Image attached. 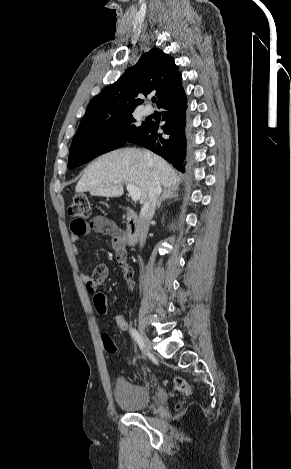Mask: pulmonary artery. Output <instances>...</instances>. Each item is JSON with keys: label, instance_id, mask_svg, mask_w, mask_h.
<instances>
[{"label": "pulmonary artery", "instance_id": "obj_1", "mask_svg": "<svg viewBox=\"0 0 291 469\" xmlns=\"http://www.w3.org/2000/svg\"><path fill=\"white\" fill-rule=\"evenodd\" d=\"M143 112H144L145 115H150V114H152L153 110L150 106H146L144 108Z\"/></svg>", "mask_w": 291, "mask_h": 469}]
</instances>
